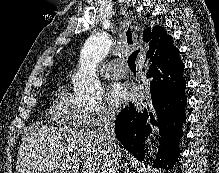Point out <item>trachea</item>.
Listing matches in <instances>:
<instances>
[{
	"label": "trachea",
	"mask_w": 219,
	"mask_h": 173,
	"mask_svg": "<svg viewBox=\"0 0 219 173\" xmlns=\"http://www.w3.org/2000/svg\"><path fill=\"white\" fill-rule=\"evenodd\" d=\"M126 36H127V43L128 44H132L133 40H132V33H131V30H130V27L128 28V30L126 32ZM138 53H139V50L133 52L129 56V58H128V65H129L130 69H135L136 68V63L135 62H136Z\"/></svg>",
	"instance_id": "trachea-1"
}]
</instances>
